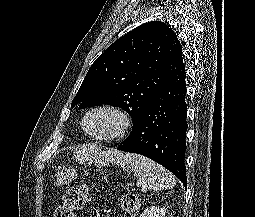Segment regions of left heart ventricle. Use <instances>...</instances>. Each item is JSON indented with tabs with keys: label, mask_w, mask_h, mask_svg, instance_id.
I'll list each match as a JSON object with an SVG mask.
<instances>
[{
	"label": "left heart ventricle",
	"mask_w": 255,
	"mask_h": 217,
	"mask_svg": "<svg viewBox=\"0 0 255 217\" xmlns=\"http://www.w3.org/2000/svg\"><path fill=\"white\" fill-rule=\"evenodd\" d=\"M86 129L94 135H107L118 127V119L107 111L92 113L86 120Z\"/></svg>",
	"instance_id": "1"
}]
</instances>
